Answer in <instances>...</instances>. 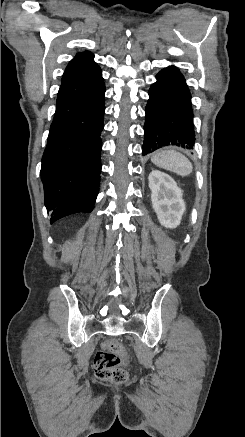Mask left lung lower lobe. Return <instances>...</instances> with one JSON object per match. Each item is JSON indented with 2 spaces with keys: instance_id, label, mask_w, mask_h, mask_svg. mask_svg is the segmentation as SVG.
I'll use <instances>...</instances> for the list:
<instances>
[{
  "instance_id": "0a47b994",
  "label": "left lung lower lobe",
  "mask_w": 245,
  "mask_h": 437,
  "mask_svg": "<svg viewBox=\"0 0 245 437\" xmlns=\"http://www.w3.org/2000/svg\"><path fill=\"white\" fill-rule=\"evenodd\" d=\"M149 90L143 155L165 146L193 149L195 133L191 94L175 66L161 70Z\"/></svg>"
}]
</instances>
